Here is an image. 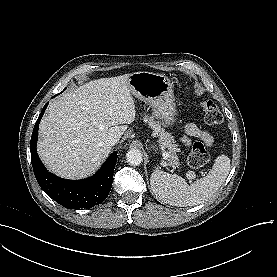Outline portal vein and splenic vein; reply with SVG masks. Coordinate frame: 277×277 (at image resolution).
<instances>
[{
	"instance_id": "18ae733b",
	"label": "portal vein and splenic vein",
	"mask_w": 277,
	"mask_h": 277,
	"mask_svg": "<svg viewBox=\"0 0 277 277\" xmlns=\"http://www.w3.org/2000/svg\"><path fill=\"white\" fill-rule=\"evenodd\" d=\"M162 156L165 160H167L169 158L170 154H168L166 151H164Z\"/></svg>"
}]
</instances>
